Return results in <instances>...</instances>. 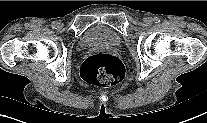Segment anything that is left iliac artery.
<instances>
[{
	"instance_id": "1",
	"label": "left iliac artery",
	"mask_w": 207,
	"mask_h": 123,
	"mask_svg": "<svg viewBox=\"0 0 207 123\" xmlns=\"http://www.w3.org/2000/svg\"><path fill=\"white\" fill-rule=\"evenodd\" d=\"M154 22L155 23H159L160 22V19L158 17H154Z\"/></svg>"
}]
</instances>
